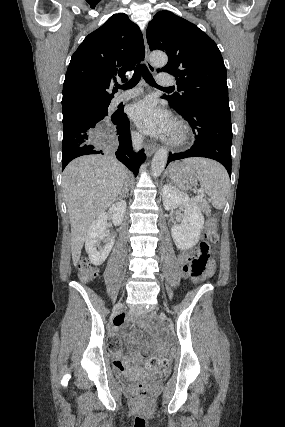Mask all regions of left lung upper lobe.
<instances>
[{
    "label": "left lung upper lobe",
    "instance_id": "obj_1",
    "mask_svg": "<svg viewBox=\"0 0 285 427\" xmlns=\"http://www.w3.org/2000/svg\"><path fill=\"white\" fill-rule=\"evenodd\" d=\"M150 50H162L168 63L160 71L177 79L175 93L164 96L184 110L197 102L229 106L227 72L216 43L193 23L170 11H159L148 24Z\"/></svg>",
    "mask_w": 285,
    "mask_h": 427
}]
</instances>
